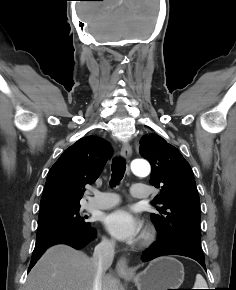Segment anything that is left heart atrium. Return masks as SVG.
<instances>
[{
	"label": "left heart atrium",
	"instance_id": "obj_1",
	"mask_svg": "<svg viewBox=\"0 0 236 290\" xmlns=\"http://www.w3.org/2000/svg\"><path fill=\"white\" fill-rule=\"evenodd\" d=\"M104 226L111 235L121 241H133L139 233L138 221L124 208L109 213L104 219Z\"/></svg>",
	"mask_w": 236,
	"mask_h": 290
}]
</instances>
